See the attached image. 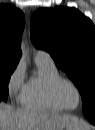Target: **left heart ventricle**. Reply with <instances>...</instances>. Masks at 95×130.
<instances>
[{"mask_svg":"<svg viewBox=\"0 0 95 130\" xmlns=\"http://www.w3.org/2000/svg\"><path fill=\"white\" fill-rule=\"evenodd\" d=\"M60 95L64 104L70 108H75L79 103L78 93L71 85H62L60 88Z\"/></svg>","mask_w":95,"mask_h":130,"instance_id":"1","label":"left heart ventricle"}]
</instances>
